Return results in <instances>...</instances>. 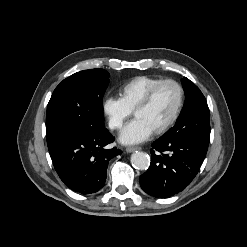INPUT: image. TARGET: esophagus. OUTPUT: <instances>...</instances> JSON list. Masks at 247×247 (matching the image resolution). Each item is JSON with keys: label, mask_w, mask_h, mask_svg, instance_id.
Instances as JSON below:
<instances>
[{"label": "esophagus", "mask_w": 247, "mask_h": 247, "mask_svg": "<svg viewBox=\"0 0 247 247\" xmlns=\"http://www.w3.org/2000/svg\"><path fill=\"white\" fill-rule=\"evenodd\" d=\"M140 149H141L140 147H127L126 152L131 153V152H134V151L140 150Z\"/></svg>", "instance_id": "1"}]
</instances>
